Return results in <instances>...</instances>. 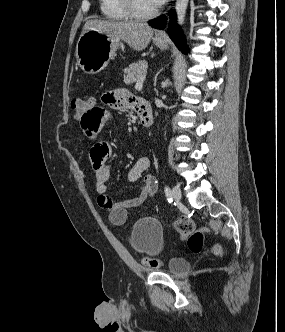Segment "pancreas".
Listing matches in <instances>:
<instances>
[{
	"instance_id": "obj_1",
	"label": "pancreas",
	"mask_w": 285,
	"mask_h": 332,
	"mask_svg": "<svg viewBox=\"0 0 285 332\" xmlns=\"http://www.w3.org/2000/svg\"><path fill=\"white\" fill-rule=\"evenodd\" d=\"M147 62L140 61L136 63H132L129 67L123 70L124 72V83L132 84L134 82L139 81L141 78L145 77L147 73Z\"/></svg>"
}]
</instances>
